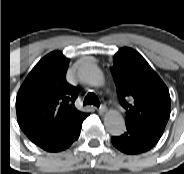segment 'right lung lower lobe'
Here are the masks:
<instances>
[{"mask_svg": "<svg viewBox=\"0 0 184 174\" xmlns=\"http://www.w3.org/2000/svg\"><path fill=\"white\" fill-rule=\"evenodd\" d=\"M85 118L73 124L65 133H63L56 139L38 146L47 151H60L67 149L75 140L78 139L81 131L82 122Z\"/></svg>", "mask_w": 184, "mask_h": 174, "instance_id": "1", "label": "right lung lower lobe"}]
</instances>
